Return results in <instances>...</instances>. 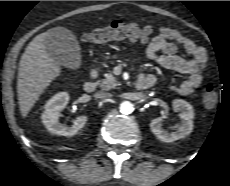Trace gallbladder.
<instances>
[{"label": "gallbladder", "instance_id": "1", "mask_svg": "<svg viewBox=\"0 0 230 186\" xmlns=\"http://www.w3.org/2000/svg\"><path fill=\"white\" fill-rule=\"evenodd\" d=\"M45 45L50 56L60 65L76 69L81 63L80 46L75 35L63 27L47 31Z\"/></svg>", "mask_w": 230, "mask_h": 186}]
</instances>
